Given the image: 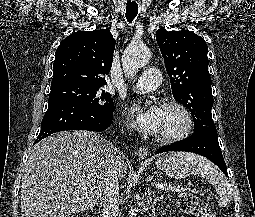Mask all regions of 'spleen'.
I'll return each mask as SVG.
<instances>
[{
  "label": "spleen",
  "instance_id": "obj_1",
  "mask_svg": "<svg viewBox=\"0 0 255 217\" xmlns=\"http://www.w3.org/2000/svg\"><path fill=\"white\" fill-rule=\"evenodd\" d=\"M175 155L191 164L195 173L205 177L214 186L217 194L220 196L218 203L221 207H225L231 202L232 185L214 164L196 154L181 152L175 153Z\"/></svg>",
  "mask_w": 255,
  "mask_h": 217
}]
</instances>
